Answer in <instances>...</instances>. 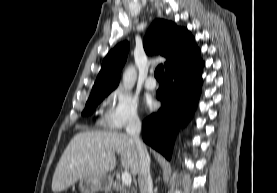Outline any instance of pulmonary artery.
<instances>
[{
    "label": "pulmonary artery",
    "mask_w": 277,
    "mask_h": 193,
    "mask_svg": "<svg viewBox=\"0 0 277 193\" xmlns=\"http://www.w3.org/2000/svg\"><path fill=\"white\" fill-rule=\"evenodd\" d=\"M145 88L148 90H154L156 88V81L152 75H150L145 81Z\"/></svg>",
    "instance_id": "pulmonary-artery-1"
}]
</instances>
